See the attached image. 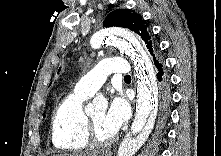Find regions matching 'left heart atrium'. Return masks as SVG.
I'll return each instance as SVG.
<instances>
[{"label":"left heart atrium","instance_id":"1","mask_svg":"<svg viewBox=\"0 0 221 156\" xmlns=\"http://www.w3.org/2000/svg\"><path fill=\"white\" fill-rule=\"evenodd\" d=\"M130 106L122 94H115L105 114V126L115 134L129 119Z\"/></svg>","mask_w":221,"mask_h":156}]
</instances>
